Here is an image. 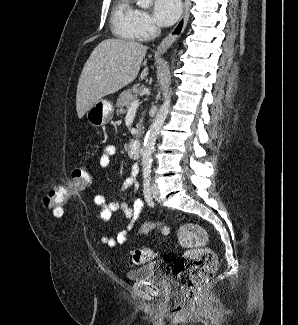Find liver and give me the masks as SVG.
Masks as SVG:
<instances>
[{
	"label": "liver",
	"instance_id": "liver-1",
	"mask_svg": "<svg viewBox=\"0 0 298 325\" xmlns=\"http://www.w3.org/2000/svg\"><path fill=\"white\" fill-rule=\"evenodd\" d=\"M149 46L122 40L105 38L93 48L79 76L76 90V112L82 118L90 106L102 100L103 96L118 92L139 74L142 60ZM148 66L143 68L138 80H145Z\"/></svg>",
	"mask_w": 298,
	"mask_h": 325
}]
</instances>
